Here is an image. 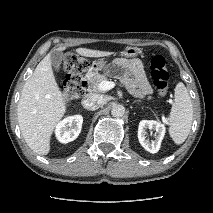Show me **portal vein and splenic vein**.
<instances>
[{"label": "portal vein and splenic vein", "mask_w": 213, "mask_h": 213, "mask_svg": "<svg viewBox=\"0 0 213 213\" xmlns=\"http://www.w3.org/2000/svg\"><path fill=\"white\" fill-rule=\"evenodd\" d=\"M115 87V83L112 81H102L99 85L98 88L100 91H108L111 90L112 88Z\"/></svg>", "instance_id": "obj_1"}]
</instances>
